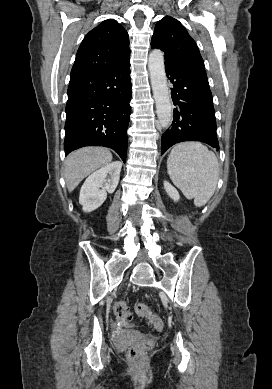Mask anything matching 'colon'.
<instances>
[{
    "label": "colon",
    "mask_w": 272,
    "mask_h": 389,
    "mask_svg": "<svg viewBox=\"0 0 272 389\" xmlns=\"http://www.w3.org/2000/svg\"><path fill=\"white\" fill-rule=\"evenodd\" d=\"M135 312L141 317L149 318L155 329H163L164 322L162 321V319L154 315L146 304H137L135 306ZM114 313L121 323H129L132 320V312L130 310L129 305L125 301L116 302V304L114 305ZM152 346V339H147L142 342H139L129 349L127 357L131 362L139 363L144 359L145 355L152 348Z\"/></svg>",
    "instance_id": "1"
}]
</instances>
